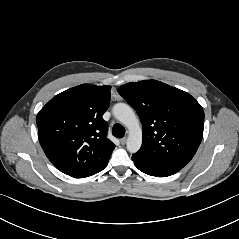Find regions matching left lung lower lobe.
I'll list each match as a JSON object with an SVG mask.
<instances>
[{
    "label": "left lung lower lobe",
    "instance_id": "obj_1",
    "mask_svg": "<svg viewBox=\"0 0 239 239\" xmlns=\"http://www.w3.org/2000/svg\"><path fill=\"white\" fill-rule=\"evenodd\" d=\"M135 166L144 172L145 174L156 176V177H166L170 176L176 172L166 170L159 166L153 165L149 162L143 161L140 158L136 157L135 155L132 156Z\"/></svg>",
    "mask_w": 239,
    "mask_h": 239
}]
</instances>
